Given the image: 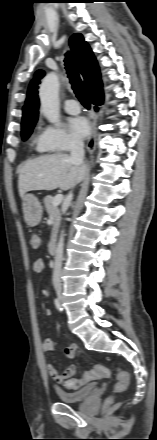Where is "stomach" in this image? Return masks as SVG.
Returning a JSON list of instances; mask_svg holds the SVG:
<instances>
[{
	"label": "stomach",
	"instance_id": "0dacf381",
	"mask_svg": "<svg viewBox=\"0 0 157 440\" xmlns=\"http://www.w3.org/2000/svg\"><path fill=\"white\" fill-rule=\"evenodd\" d=\"M22 209L24 219L29 226L34 227L39 224L42 218L43 209L34 195L27 194L22 198Z\"/></svg>",
	"mask_w": 157,
	"mask_h": 440
}]
</instances>
